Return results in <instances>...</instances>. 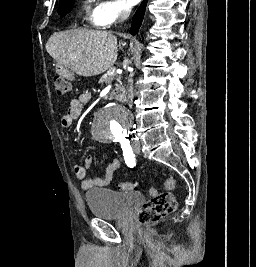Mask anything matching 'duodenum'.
I'll use <instances>...</instances> for the list:
<instances>
[{"label":"duodenum","mask_w":256,"mask_h":267,"mask_svg":"<svg viewBox=\"0 0 256 267\" xmlns=\"http://www.w3.org/2000/svg\"><path fill=\"white\" fill-rule=\"evenodd\" d=\"M56 72L59 75L60 79H74V74H72V71L69 70L68 66H56ZM111 101H118L119 97L118 96H111L110 97Z\"/></svg>","instance_id":"duodenum-1"}]
</instances>
